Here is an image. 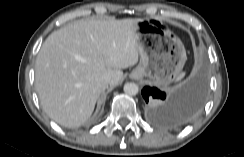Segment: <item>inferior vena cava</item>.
<instances>
[{"instance_id":"obj_1","label":"inferior vena cava","mask_w":244,"mask_h":157,"mask_svg":"<svg viewBox=\"0 0 244 157\" xmlns=\"http://www.w3.org/2000/svg\"><path fill=\"white\" fill-rule=\"evenodd\" d=\"M102 79H103V82L108 84L111 80V76L109 74H105Z\"/></svg>"}]
</instances>
